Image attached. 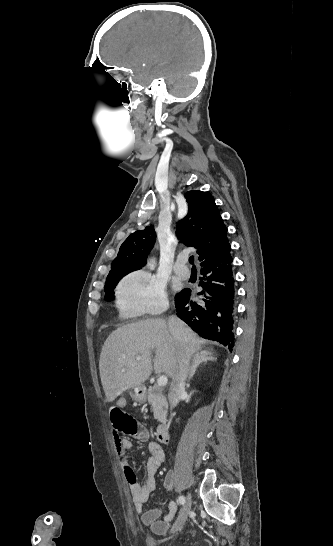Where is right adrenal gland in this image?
<instances>
[{"label": "right adrenal gland", "instance_id": "2a0ac1e0", "mask_svg": "<svg viewBox=\"0 0 333 546\" xmlns=\"http://www.w3.org/2000/svg\"><path fill=\"white\" fill-rule=\"evenodd\" d=\"M216 358L213 357V354L212 352L210 351H207V350H203L201 352H197L195 354V357L193 359V364H192V367H191V370L189 372V375H188V378H187V382H190V380L193 378L198 366L202 363H206L207 361H215Z\"/></svg>", "mask_w": 333, "mask_h": 546}]
</instances>
